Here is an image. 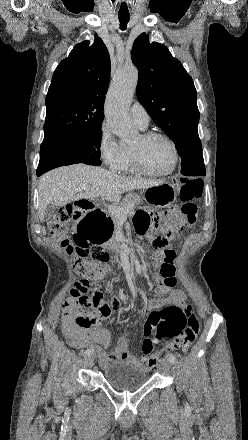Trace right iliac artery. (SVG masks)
Returning <instances> with one entry per match:
<instances>
[{
  "label": "right iliac artery",
  "instance_id": "82829eb1",
  "mask_svg": "<svg viewBox=\"0 0 248 440\" xmlns=\"http://www.w3.org/2000/svg\"><path fill=\"white\" fill-rule=\"evenodd\" d=\"M93 353H94V350H93V349H87V350L84 352V354L87 355V356H91Z\"/></svg>",
  "mask_w": 248,
  "mask_h": 440
}]
</instances>
